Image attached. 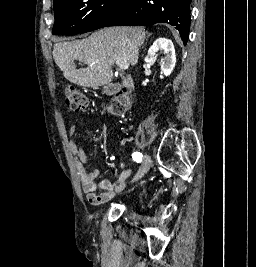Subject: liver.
<instances>
[{
	"label": "liver",
	"instance_id": "obj_1",
	"mask_svg": "<svg viewBox=\"0 0 256 267\" xmlns=\"http://www.w3.org/2000/svg\"><path fill=\"white\" fill-rule=\"evenodd\" d=\"M146 32L143 28L116 26L103 28L91 34L86 40L59 42L54 44L53 58L64 78L78 86H105L114 78L112 66L124 62L135 66L139 48L144 44ZM74 60L85 62L88 68L76 70Z\"/></svg>",
	"mask_w": 256,
	"mask_h": 267
}]
</instances>
